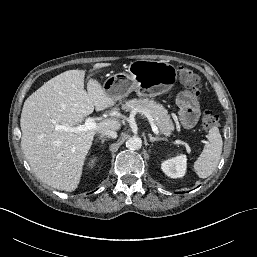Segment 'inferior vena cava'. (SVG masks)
<instances>
[{
	"label": "inferior vena cava",
	"mask_w": 257,
	"mask_h": 257,
	"mask_svg": "<svg viewBox=\"0 0 257 257\" xmlns=\"http://www.w3.org/2000/svg\"><path fill=\"white\" fill-rule=\"evenodd\" d=\"M101 136H105L108 138H117V132L115 130H104L100 132Z\"/></svg>",
	"instance_id": "obj_1"
}]
</instances>
